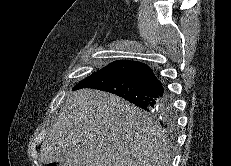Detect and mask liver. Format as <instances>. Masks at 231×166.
<instances>
[{"instance_id": "liver-1", "label": "liver", "mask_w": 231, "mask_h": 166, "mask_svg": "<svg viewBox=\"0 0 231 166\" xmlns=\"http://www.w3.org/2000/svg\"><path fill=\"white\" fill-rule=\"evenodd\" d=\"M170 143L144 111L99 90L71 91L40 158L61 166H169Z\"/></svg>"}]
</instances>
